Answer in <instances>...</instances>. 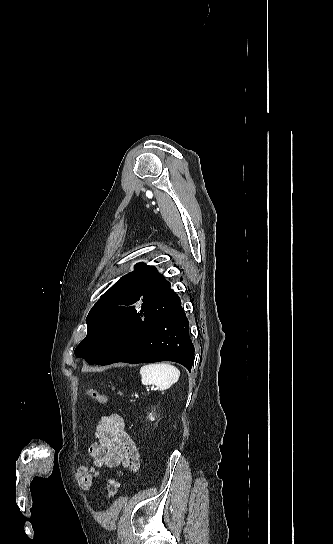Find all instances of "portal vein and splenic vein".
Listing matches in <instances>:
<instances>
[{
  "instance_id": "1",
  "label": "portal vein and splenic vein",
  "mask_w": 333,
  "mask_h": 544,
  "mask_svg": "<svg viewBox=\"0 0 333 544\" xmlns=\"http://www.w3.org/2000/svg\"><path fill=\"white\" fill-rule=\"evenodd\" d=\"M147 390H155V387L152 386V387H150V389L148 388Z\"/></svg>"
}]
</instances>
